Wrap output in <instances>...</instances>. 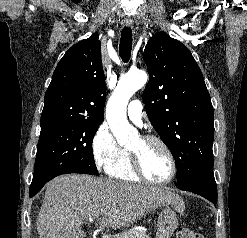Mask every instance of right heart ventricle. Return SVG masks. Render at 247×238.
Wrapping results in <instances>:
<instances>
[{
  "instance_id": "e07e8e85",
  "label": "right heart ventricle",
  "mask_w": 247,
  "mask_h": 238,
  "mask_svg": "<svg viewBox=\"0 0 247 238\" xmlns=\"http://www.w3.org/2000/svg\"><path fill=\"white\" fill-rule=\"evenodd\" d=\"M111 178L125 182H137L139 178L133 171L129 152L125 149L119 159L107 171Z\"/></svg>"
}]
</instances>
